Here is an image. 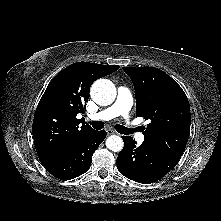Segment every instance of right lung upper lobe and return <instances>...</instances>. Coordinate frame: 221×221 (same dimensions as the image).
Masks as SVG:
<instances>
[{
  "label": "right lung upper lobe",
  "instance_id": "right-lung-upper-lobe-1",
  "mask_svg": "<svg viewBox=\"0 0 221 221\" xmlns=\"http://www.w3.org/2000/svg\"><path fill=\"white\" fill-rule=\"evenodd\" d=\"M118 69L119 66L77 62L51 80L37 106L32 127L43 165L64 155L93 131L76 116L84 112L92 83Z\"/></svg>",
  "mask_w": 221,
  "mask_h": 221
}]
</instances>
